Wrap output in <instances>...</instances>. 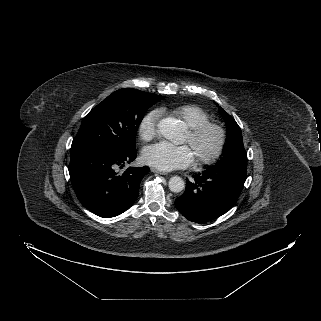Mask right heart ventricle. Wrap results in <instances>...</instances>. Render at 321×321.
<instances>
[{"label":"right heart ventricle","mask_w":321,"mask_h":321,"mask_svg":"<svg viewBox=\"0 0 321 321\" xmlns=\"http://www.w3.org/2000/svg\"><path fill=\"white\" fill-rule=\"evenodd\" d=\"M171 113L181 119L187 128H193L210 120L208 112L196 104L178 106Z\"/></svg>","instance_id":"e07e8e85"}]
</instances>
